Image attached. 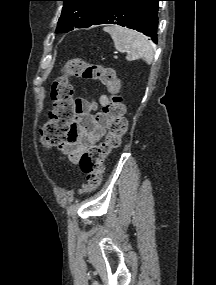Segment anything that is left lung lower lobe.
Segmentation results:
<instances>
[{"mask_svg":"<svg viewBox=\"0 0 216 285\" xmlns=\"http://www.w3.org/2000/svg\"><path fill=\"white\" fill-rule=\"evenodd\" d=\"M159 1L112 0L91 25L116 24L135 29L157 43Z\"/></svg>","mask_w":216,"mask_h":285,"instance_id":"left-lung-lower-lobe-1","label":"left lung lower lobe"}]
</instances>
